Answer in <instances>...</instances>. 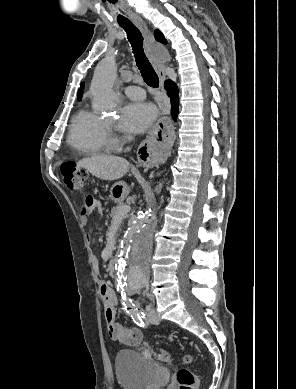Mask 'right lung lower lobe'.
I'll list each match as a JSON object with an SVG mask.
<instances>
[{
  "label": "right lung lower lobe",
  "mask_w": 296,
  "mask_h": 389,
  "mask_svg": "<svg viewBox=\"0 0 296 389\" xmlns=\"http://www.w3.org/2000/svg\"><path fill=\"white\" fill-rule=\"evenodd\" d=\"M165 89L167 90L171 100V115L174 121L177 119L179 112V96L176 84L171 81H165Z\"/></svg>",
  "instance_id": "obj_1"
}]
</instances>
